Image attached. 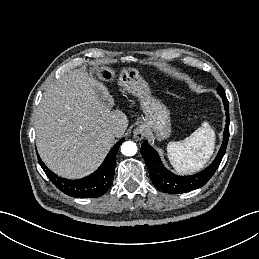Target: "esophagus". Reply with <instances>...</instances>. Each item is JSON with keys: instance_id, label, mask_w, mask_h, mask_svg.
Instances as JSON below:
<instances>
[{"instance_id": "34e87169", "label": "esophagus", "mask_w": 259, "mask_h": 259, "mask_svg": "<svg viewBox=\"0 0 259 259\" xmlns=\"http://www.w3.org/2000/svg\"><path fill=\"white\" fill-rule=\"evenodd\" d=\"M133 135L137 140H142L146 136L145 126L139 125L136 129H134Z\"/></svg>"}]
</instances>
